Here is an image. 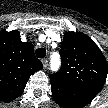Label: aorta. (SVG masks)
Listing matches in <instances>:
<instances>
[{
    "instance_id": "1",
    "label": "aorta",
    "mask_w": 108,
    "mask_h": 108,
    "mask_svg": "<svg viewBox=\"0 0 108 108\" xmlns=\"http://www.w3.org/2000/svg\"><path fill=\"white\" fill-rule=\"evenodd\" d=\"M61 61H60V57L57 53H53L51 56V70L52 71H57L60 67Z\"/></svg>"
}]
</instances>
